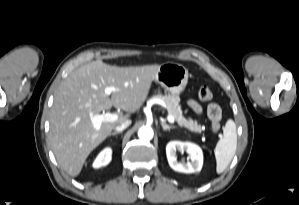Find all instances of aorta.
Wrapping results in <instances>:
<instances>
[{"label": "aorta", "mask_w": 299, "mask_h": 205, "mask_svg": "<svg viewBox=\"0 0 299 205\" xmlns=\"http://www.w3.org/2000/svg\"><path fill=\"white\" fill-rule=\"evenodd\" d=\"M154 132L151 127L143 126L138 131V136L142 140H151L153 138Z\"/></svg>", "instance_id": "aorta-1"}]
</instances>
